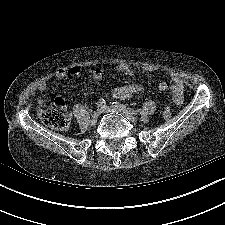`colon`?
<instances>
[{
    "mask_svg": "<svg viewBox=\"0 0 225 225\" xmlns=\"http://www.w3.org/2000/svg\"><path fill=\"white\" fill-rule=\"evenodd\" d=\"M64 105L63 99H57L52 106L42 109L40 117L43 122L54 129H66L69 125V116L65 111ZM170 115L171 109L164 107L162 110L163 118L167 119Z\"/></svg>",
    "mask_w": 225,
    "mask_h": 225,
    "instance_id": "obj_1",
    "label": "colon"
}]
</instances>
